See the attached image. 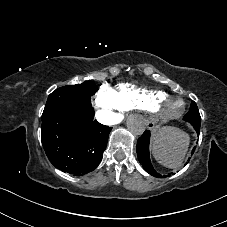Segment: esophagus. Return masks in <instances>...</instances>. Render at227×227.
<instances>
[{
  "label": "esophagus",
  "instance_id": "obj_1",
  "mask_svg": "<svg viewBox=\"0 0 227 227\" xmlns=\"http://www.w3.org/2000/svg\"><path fill=\"white\" fill-rule=\"evenodd\" d=\"M143 124L149 130L154 129L155 126H156V123H155V121L152 117L145 118L144 121H143Z\"/></svg>",
  "mask_w": 227,
  "mask_h": 227
}]
</instances>
